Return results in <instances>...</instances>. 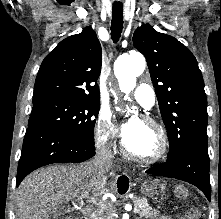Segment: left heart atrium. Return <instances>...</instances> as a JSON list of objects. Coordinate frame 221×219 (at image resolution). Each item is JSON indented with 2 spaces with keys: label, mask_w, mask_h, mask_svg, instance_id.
<instances>
[{
  "label": "left heart atrium",
  "mask_w": 221,
  "mask_h": 219,
  "mask_svg": "<svg viewBox=\"0 0 221 219\" xmlns=\"http://www.w3.org/2000/svg\"><path fill=\"white\" fill-rule=\"evenodd\" d=\"M134 127H135L134 121H128L121 124V126L119 127L120 136L125 140L130 136Z\"/></svg>",
  "instance_id": "39dd6f15"
}]
</instances>
